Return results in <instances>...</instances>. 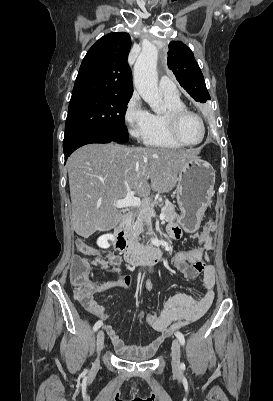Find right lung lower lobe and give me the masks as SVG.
<instances>
[{
    "instance_id": "obj_1",
    "label": "right lung lower lobe",
    "mask_w": 273,
    "mask_h": 401,
    "mask_svg": "<svg viewBox=\"0 0 273 401\" xmlns=\"http://www.w3.org/2000/svg\"><path fill=\"white\" fill-rule=\"evenodd\" d=\"M116 142L111 138L100 136L92 132H77L64 137L63 151L65 161L79 147L90 143H110Z\"/></svg>"
}]
</instances>
